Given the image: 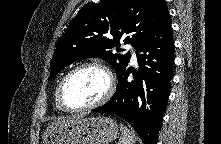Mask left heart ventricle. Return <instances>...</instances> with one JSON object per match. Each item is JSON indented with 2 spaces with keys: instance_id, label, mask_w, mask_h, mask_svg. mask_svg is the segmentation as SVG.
<instances>
[{
  "instance_id": "obj_1",
  "label": "left heart ventricle",
  "mask_w": 221,
  "mask_h": 144,
  "mask_svg": "<svg viewBox=\"0 0 221 144\" xmlns=\"http://www.w3.org/2000/svg\"><path fill=\"white\" fill-rule=\"evenodd\" d=\"M106 75L97 68H84L68 81L64 98L72 107H82L99 100L107 90Z\"/></svg>"
}]
</instances>
